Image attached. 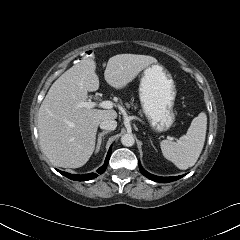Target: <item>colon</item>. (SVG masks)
I'll return each instance as SVG.
<instances>
[{"label":"colon","instance_id":"1","mask_svg":"<svg viewBox=\"0 0 240 240\" xmlns=\"http://www.w3.org/2000/svg\"><path fill=\"white\" fill-rule=\"evenodd\" d=\"M93 54V52L91 50H88L86 52H84V56H91Z\"/></svg>","mask_w":240,"mask_h":240}]
</instances>
